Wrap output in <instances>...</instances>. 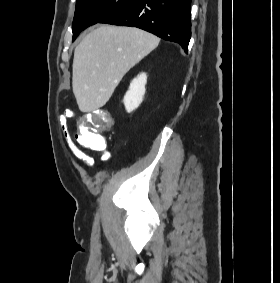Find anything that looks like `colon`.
Masks as SVG:
<instances>
[{
  "instance_id": "colon-1",
  "label": "colon",
  "mask_w": 280,
  "mask_h": 283,
  "mask_svg": "<svg viewBox=\"0 0 280 283\" xmlns=\"http://www.w3.org/2000/svg\"><path fill=\"white\" fill-rule=\"evenodd\" d=\"M65 113H73L67 110ZM113 115L110 110H84L81 119H93L97 127H88V122L80 120L76 124V141L84 148L93 151H103L106 147V139L99 132H112L115 122H108Z\"/></svg>"
}]
</instances>
